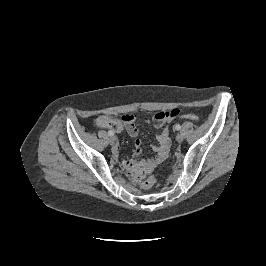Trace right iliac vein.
I'll return each instance as SVG.
<instances>
[{
  "instance_id": "63e3f726",
  "label": "right iliac vein",
  "mask_w": 266,
  "mask_h": 266,
  "mask_svg": "<svg viewBox=\"0 0 266 266\" xmlns=\"http://www.w3.org/2000/svg\"><path fill=\"white\" fill-rule=\"evenodd\" d=\"M115 141H116V138H115V137H110V138H109V143H110L111 145H113V144L115 143Z\"/></svg>"
}]
</instances>
